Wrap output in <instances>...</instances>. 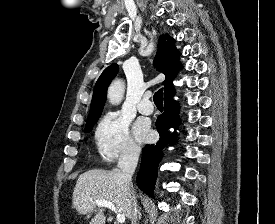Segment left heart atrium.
<instances>
[{
	"instance_id": "left-heart-atrium-1",
	"label": "left heart atrium",
	"mask_w": 275,
	"mask_h": 224,
	"mask_svg": "<svg viewBox=\"0 0 275 224\" xmlns=\"http://www.w3.org/2000/svg\"><path fill=\"white\" fill-rule=\"evenodd\" d=\"M134 134L139 142L148 141L151 138V131L148 125L142 121H138L134 126Z\"/></svg>"
}]
</instances>
